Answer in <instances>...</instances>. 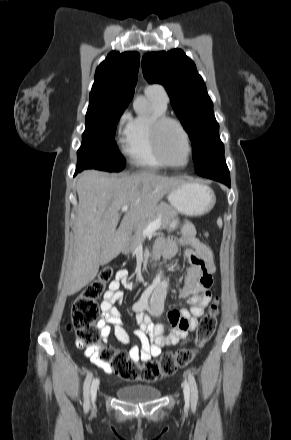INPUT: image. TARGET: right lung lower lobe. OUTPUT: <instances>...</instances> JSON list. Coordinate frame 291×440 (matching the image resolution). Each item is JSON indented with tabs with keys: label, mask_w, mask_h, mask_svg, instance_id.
<instances>
[{
	"label": "right lung lower lobe",
	"mask_w": 291,
	"mask_h": 440,
	"mask_svg": "<svg viewBox=\"0 0 291 440\" xmlns=\"http://www.w3.org/2000/svg\"><path fill=\"white\" fill-rule=\"evenodd\" d=\"M78 172H79V171L76 170V173H75V174H77Z\"/></svg>",
	"instance_id": "1"
}]
</instances>
